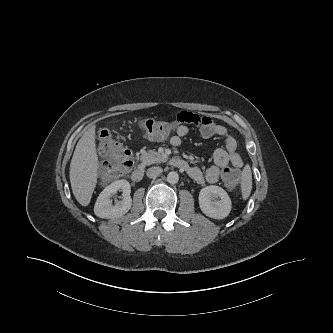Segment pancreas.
I'll return each mask as SVG.
<instances>
[{
	"mask_svg": "<svg viewBox=\"0 0 333 333\" xmlns=\"http://www.w3.org/2000/svg\"><path fill=\"white\" fill-rule=\"evenodd\" d=\"M140 159L144 165H151L164 162L167 160V157L165 155H161L160 153L154 150H149V151H143L140 156Z\"/></svg>",
	"mask_w": 333,
	"mask_h": 333,
	"instance_id": "1",
	"label": "pancreas"
}]
</instances>
